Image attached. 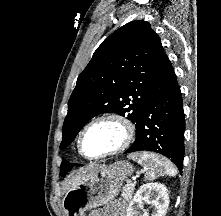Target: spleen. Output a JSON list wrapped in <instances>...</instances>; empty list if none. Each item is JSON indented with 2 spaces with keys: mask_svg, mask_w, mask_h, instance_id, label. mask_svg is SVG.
<instances>
[{
  "mask_svg": "<svg viewBox=\"0 0 221 216\" xmlns=\"http://www.w3.org/2000/svg\"><path fill=\"white\" fill-rule=\"evenodd\" d=\"M130 158L143 166L146 171L145 178L149 181L164 175L175 176L177 174V170L170 161L153 153H134L130 155Z\"/></svg>",
  "mask_w": 221,
  "mask_h": 216,
  "instance_id": "obj_1",
  "label": "spleen"
}]
</instances>
